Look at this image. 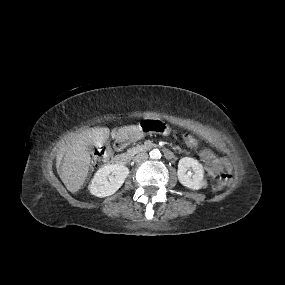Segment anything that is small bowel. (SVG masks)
<instances>
[{
	"mask_svg": "<svg viewBox=\"0 0 285 285\" xmlns=\"http://www.w3.org/2000/svg\"><path fill=\"white\" fill-rule=\"evenodd\" d=\"M201 159L204 163L205 170L212 177L230 170L229 163L223 158L216 156L210 150H203L201 153Z\"/></svg>",
	"mask_w": 285,
	"mask_h": 285,
	"instance_id": "obj_1",
	"label": "small bowel"
}]
</instances>
